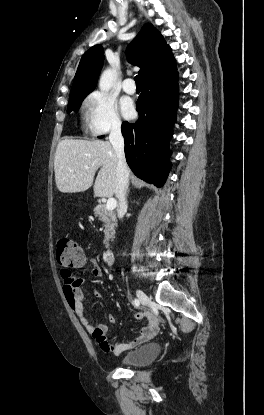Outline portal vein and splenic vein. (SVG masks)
Masks as SVG:
<instances>
[{
	"label": "portal vein and splenic vein",
	"instance_id": "1",
	"mask_svg": "<svg viewBox=\"0 0 264 415\" xmlns=\"http://www.w3.org/2000/svg\"><path fill=\"white\" fill-rule=\"evenodd\" d=\"M86 169H88V167H86ZM117 207V201L114 198H110L108 199L105 208L107 210H114Z\"/></svg>",
	"mask_w": 264,
	"mask_h": 415
}]
</instances>
